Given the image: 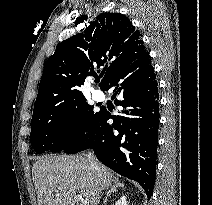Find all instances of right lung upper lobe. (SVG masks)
Returning a JSON list of instances; mask_svg holds the SVG:
<instances>
[{"mask_svg":"<svg viewBox=\"0 0 212 205\" xmlns=\"http://www.w3.org/2000/svg\"><path fill=\"white\" fill-rule=\"evenodd\" d=\"M146 52L140 32L120 13H102L95 21L62 41L47 60L39 84L34 110L67 105L84 97L81 86L94 68L105 65L100 88L125 65Z\"/></svg>","mask_w":212,"mask_h":205,"instance_id":"right-lung-upper-lobe-1","label":"right lung upper lobe"}]
</instances>
